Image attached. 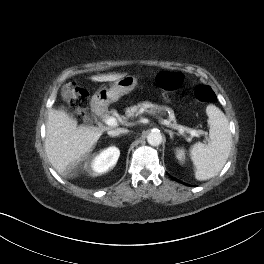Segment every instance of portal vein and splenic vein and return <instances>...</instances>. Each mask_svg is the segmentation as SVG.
Wrapping results in <instances>:
<instances>
[{"label": "portal vein and splenic vein", "instance_id": "1", "mask_svg": "<svg viewBox=\"0 0 264 264\" xmlns=\"http://www.w3.org/2000/svg\"><path fill=\"white\" fill-rule=\"evenodd\" d=\"M163 124L168 126V127H171L173 129H176L178 130L181 134H183L185 131L187 133H189L192 137L195 136V137H199L201 134H203L204 132L201 131V130H195V129H192V128H188V127H185V126H182V125H178V124H172L170 121H167V120H162ZM105 123L108 125V126H112V127H115L117 125V120L116 118L114 117H107L105 119ZM207 137H206V141H207Z\"/></svg>", "mask_w": 264, "mask_h": 264}]
</instances>
